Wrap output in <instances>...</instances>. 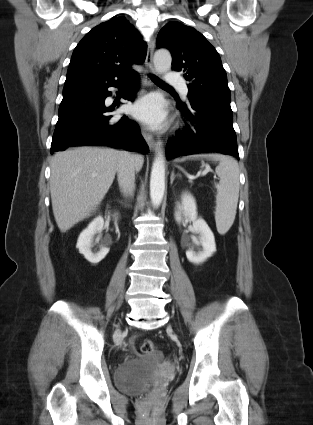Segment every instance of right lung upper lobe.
<instances>
[{"instance_id":"cb5924a9","label":"right lung upper lobe","mask_w":313,"mask_h":425,"mask_svg":"<svg viewBox=\"0 0 313 425\" xmlns=\"http://www.w3.org/2000/svg\"><path fill=\"white\" fill-rule=\"evenodd\" d=\"M147 46L140 33L121 16H114L89 31L74 49L65 84L125 80L142 64Z\"/></svg>"}]
</instances>
